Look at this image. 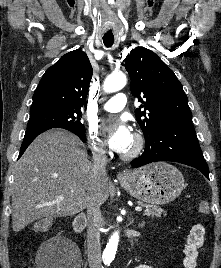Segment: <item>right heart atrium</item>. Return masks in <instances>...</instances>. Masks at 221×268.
<instances>
[{
    "mask_svg": "<svg viewBox=\"0 0 221 268\" xmlns=\"http://www.w3.org/2000/svg\"><path fill=\"white\" fill-rule=\"evenodd\" d=\"M87 138L89 142V146L94 155L103 157L107 154V150L105 148L104 143L98 137L96 129L94 127H89L87 130Z\"/></svg>",
    "mask_w": 221,
    "mask_h": 268,
    "instance_id": "obj_1",
    "label": "right heart atrium"
}]
</instances>
